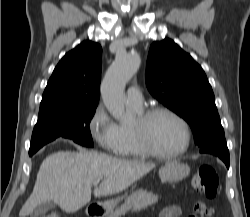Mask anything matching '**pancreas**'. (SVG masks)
Returning a JSON list of instances; mask_svg holds the SVG:
<instances>
[{"instance_id":"pancreas-1","label":"pancreas","mask_w":250,"mask_h":217,"mask_svg":"<svg viewBox=\"0 0 250 217\" xmlns=\"http://www.w3.org/2000/svg\"><path fill=\"white\" fill-rule=\"evenodd\" d=\"M158 196L147 192L146 190H139L132 193L125 202L114 211L110 212L107 217H121L125 215L129 210L132 212H139L153 204L158 202Z\"/></svg>"}]
</instances>
